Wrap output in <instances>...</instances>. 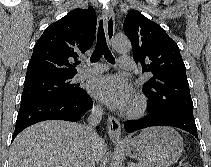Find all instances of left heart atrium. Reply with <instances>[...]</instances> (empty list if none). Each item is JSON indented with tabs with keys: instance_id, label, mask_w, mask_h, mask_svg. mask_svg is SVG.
Instances as JSON below:
<instances>
[{
	"instance_id": "left-heart-atrium-1",
	"label": "left heart atrium",
	"mask_w": 211,
	"mask_h": 167,
	"mask_svg": "<svg viewBox=\"0 0 211 167\" xmlns=\"http://www.w3.org/2000/svg\"><path fill=\"white\" fill-rule=\"evenodd\" d=\"M89 92L113 108L124 109L130 101L127 84L114 76L93 79L88 85Z\"/></svg>"
}]
</instances>
